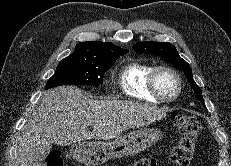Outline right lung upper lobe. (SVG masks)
Here are the masks:
<instances>
[{
    "mask_svg": "<svg viewBox=\"0 0 231 166\" xmlns=\"http://www.w3.org/2000/svg\"><path fill=\"white\" fill-rule=\"evenodd\" d=\"M124 52H128V50L122 49L111 42L87 41L78 43L72 55L99 58Z\"/></svg>",
    "mask_w": 231,
    "mask_h": 166,
    "instance_id": "obj_1",
    "label": "right lung upper lobe"
}]
</instances>
